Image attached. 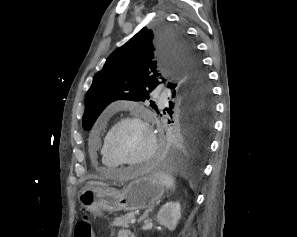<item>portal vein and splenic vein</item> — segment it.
<instances>
[{
    "instance_id": "obj_1",
    "label": "portal vein and splenic vein",
    "mask_w": 297,
    "mask_h": 237,
    "mask_svg": "<svg viewBox=\"0 0 297 237\" xmlns=\"http://www.w3.org/2000/svg\"><path fill=\"white\" fill-rule=\"evenodd\" d=\"M136 222V219L135 218H132L131 220H130V223L131 224H134Z\"/></svg>"
}]
</instances>
